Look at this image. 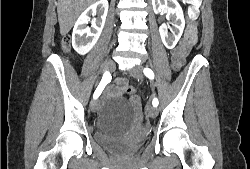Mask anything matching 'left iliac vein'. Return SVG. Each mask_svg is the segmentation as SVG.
<instances>
[{
    "mask_svg": "<svg viewBox=\"0 0 250 169\" xmlns=\"http://www.w3.org/2000/svg\"><path fill=\"white\" fill-rule=\"evenodd\" d=\"M142 70L143 68L141 66H136L134 69L131 70L130 73L135 79H142L143 78ZM147 112L151 118H154L157 115V108L154 106H150L147 108Z\"/></svg>",
    "mask_w": 250,
    "mask_h": 169,
    "instance_id": "left-iliac-vein-1",
    "label": "left iliac vein"
}]
</instances>
